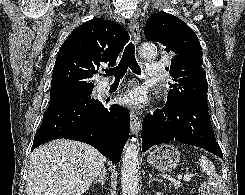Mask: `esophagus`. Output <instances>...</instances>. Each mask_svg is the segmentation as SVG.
I'll list each match as a JSON object with an SVG mask.
<instances>
[{"label": "esophagus", "mask_w": 245, "mask_h": 195, "mask_svg": "<svg viewBox=\"0 0 245 195\" xmlns=\"http://www.w3.org/2000/svg\"><path fill=\"white\" fill-rule=\"evenodd\" d=\"M129 29L135 44H138L140 41V28L135 19L131 21ZM130 128L131 133L134 135H138L141 129V121L138 115L132 110L130 111Z\"/></svg>", "instance_id": "1"}]
</instances>
